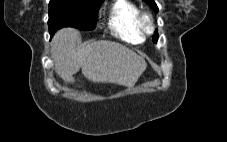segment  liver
<instances>
[{"instance_id":"obj_1","label":"liver","mask_w":227,"mask_h":142,"mask_svg":"<svg viewBox=\"0 0 227 142\" xmlns=\"http://www.w3.org/2000/svg\"><path fill=\"white\" fill-rule=\"evenodd\" d=\"M80 33L72 28L59 30L51 42L55 71L67 83L80 68L94 83H114L133 87L147 64L126 46L112 41H95L77 47Z\"/></svg>"}]
</instances>
